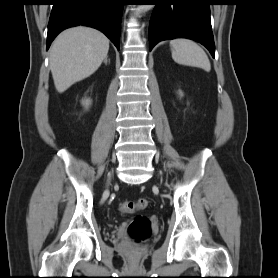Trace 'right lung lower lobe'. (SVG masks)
Listing matches in <instances>:
<instances>
[{
  "label": "right lung lower lobe",
  "mask_w": 278,
  "mask_h": 278,
  "mask_svg": "<svg viewBox=\"0 0 278 278\" xmlns=\"http://www.w3.org/2000/svg\"><path fill=\"white\" fill-rule=\"evenodd\" d=\"M124 0H53L47 50L64 29L86 25L102 31L119 49Z\"/></svg>",
  "instance_id": "right-lung-lower-lobe-1"
}]
</instances>
